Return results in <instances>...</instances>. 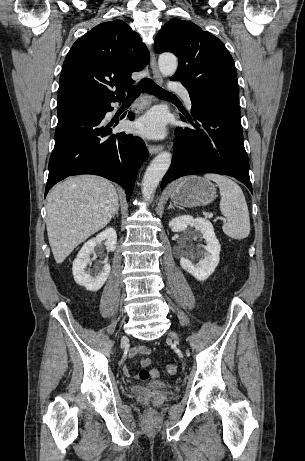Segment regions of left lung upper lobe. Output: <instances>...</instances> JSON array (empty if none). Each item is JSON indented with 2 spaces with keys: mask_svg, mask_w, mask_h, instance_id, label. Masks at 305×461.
<instances>
[{
  "mask_svg": "<svg viewBox=\"0 0 305 461\" xmlns=\"http://www.w3.org/2000/svg\"><path fill=\"white\" fill-rule=\"evenodd\" d=\"M154 49L178 57V69L171 79L182 81L189 93L239 94L232 56L222 41L196 24L168 21L157 34Z\"/></svg>",
  "mask_w": 305,
  "mask_h": 461,
  "instance_id": "1",
  "label": "left lung upper lobe"
}]
</instances>
